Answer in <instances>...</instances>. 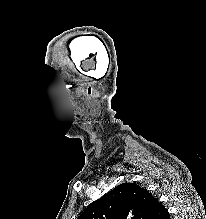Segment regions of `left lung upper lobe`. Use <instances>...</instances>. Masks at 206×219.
<instances>
[{
    "mask_svg": "<svg viewBox=\"0 0 206 219\" xmlns=\"http://www.w3.org/2000/svg\"><path fill=\"white\" fill-rule=\"evenodd\" d=\"M153 199L136 183L120 184L91 203L77 219H148Z\"/></svg>",
    "mask_w": 206,
    "mask_h": 219,
    "instance_id": "5c2ea615",
    "label": "left lung upper lobe"
}]
</instances>
